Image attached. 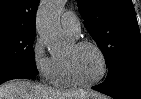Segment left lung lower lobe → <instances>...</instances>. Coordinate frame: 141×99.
I'll return each instance as SVG.
<instances>
[{"mask_svg": "<svg viewBox=\"0 0 141 99\" xmlns=\"http://www.w3.org/2000/svg\"><path fill=\"white\" fill-rule=\"evenodd\" d=\"M92 89L115 99H141V71L122 73Z\"/></svg>", "mask_w": 141, "mask_h": 99, "instance_id": "0a47b994", "label": "left lung lower lobe"}]
</instances>
